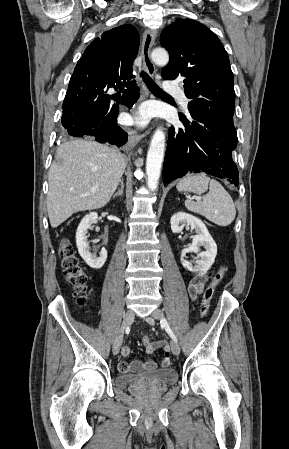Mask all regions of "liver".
<instances>
[{
	"instance_id": "1",
	"label": "liver",
	"mask_w": 289,
	"mask_h": 449,
	"mask_svg": "<svg viewBox=\"0 0 289 449\" xmlns=\"http://www.w3.org/2000/svg\"><path fill=\"white\" fill-rule=\"evenodd\" d=\"M126 168L116 149L91 140L62 144L48 173L47 212L52 228L74 213L105 206Z\"/></svg>"
}]
</instances>
